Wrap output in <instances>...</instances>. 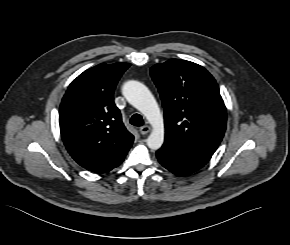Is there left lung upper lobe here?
Masks as SVG:
<instances>
[{
	"instance_id": "obj_1",
	"label": "left lung upper lobe",
	"mask_w": 290,
	"mask_h": 245,
	"mask_svg": "<svg viewBox=\"0 0 290 245\" xmlns=\"http://www.w3.org/2000/svg\"><path fill=\"white\" fill-rule=\"evenodd\" d=\"M164 107V144L210 159L226 129L218 84L202 66L170 59L150 69Z\"/></svg>"
}]
</instances>
